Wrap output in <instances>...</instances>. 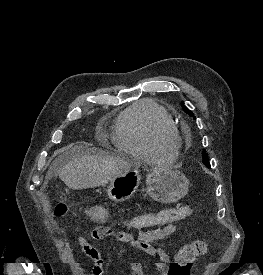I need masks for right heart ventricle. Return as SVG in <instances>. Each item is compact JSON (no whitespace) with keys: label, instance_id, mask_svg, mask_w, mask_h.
Listing matches in <instances>:
<instances>
[{"label":"right heart ventricle","instance_id":"right-heart-ventricle-1","mask_svg":"<svg viewBox=\"0 0 263 275\" xmlns=\"http://www.w3.org/2000/svg\"><path fill=\"white\" fill-rule=\"evenodd\" d=\"M157 130L177 132L172 117L163 107L155 101L143 100L120 113L113 141L120 151L136 157L174 158L178 144L159 142L155 137Z\"/></svg>","mask_w":263,"mask_h":275}]
</instances>
